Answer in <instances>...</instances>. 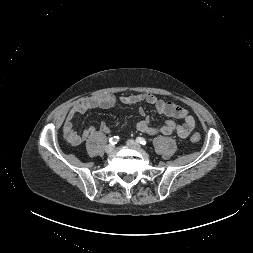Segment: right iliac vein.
Returning a JSON list of instances; mask_svg holds the SVG:
<instances>
[{
    "label": "right iliac vein",
    "mask_w": 253,
    "mask_h": 253,
    "mask_svg": "<svg viewBox=\"0 0 253 253\" xmlns=\"http://www.w3.org/2000/svg\"><path fill=\"white\" fill-rule=\"evenodd\" d=\"M114 145H112V144H109V145H107L106 147H105V151L107 152V153H111L113 150H114Z\"/></svg>",
    "instance_id": "right-iliac-vein-1"
}]
</instances>
